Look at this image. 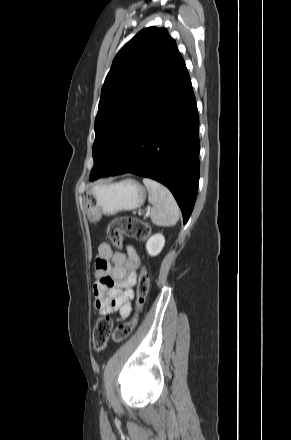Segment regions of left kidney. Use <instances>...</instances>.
Masks as SVG:
<instances>
[{
	"mask_svg": "<svg viewBox=\"0 0 291 440\" xmlns=\"http://www.w3.org/2000/svg\"><path fill=\"white\" fill-rule=\"evenodd\" d=\"M164 245V236L160 233L154 234L148 239L146 243V250L150 256H157L162 251Z\"/></svg>",
	"mask_w": 291,
	"mask_h": 440,
	"instance_id": "obj_1",
	"label": "left kidney"
}]
</instances>
